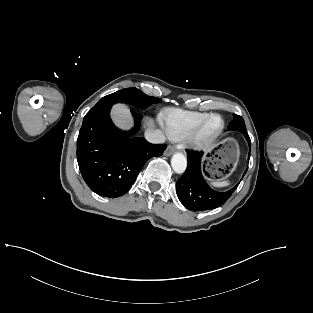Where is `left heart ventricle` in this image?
Segmentation results:
<instances>
[{"mask_svg":"<svg viewBox=\"0 0 313 313\" xmlns=\"http://www.w3.org/2000/svg\"><path fill=\"white\" fill-rule=\"evenodd\" d=\"M221 125V121L219 118L215 117L212 118L204 127L203 132H202V136L204 138H207L211 135H213L214 133H216L218 131V129L220 128Z\"/></svg>","mask_w":313,"mask_h":313,"instance_id":"left-heart-ventricle-1","label":"left heart ventricle"}]
</instances>
